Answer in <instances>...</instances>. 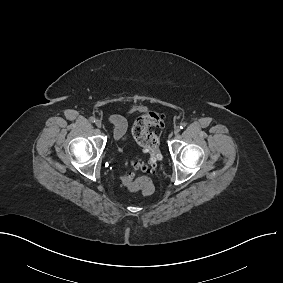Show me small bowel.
Instances as JSON below:
<instances>
[{"mask_svg":"<svg viewBox=\"0 0 283 283\" xmlns=\"http://www.w3.org/2000/svg\"><path fill=\"white\" fill-rule=\"evenodd\" d=\"M110 123L114 126V138L117 141H124L126 139L128 123L127 120L118 114L111 115Z\"/></svg>","mask_w":283,"mask_h":283,"instance_id":"1","label":"small bowel"}]
</instances>
